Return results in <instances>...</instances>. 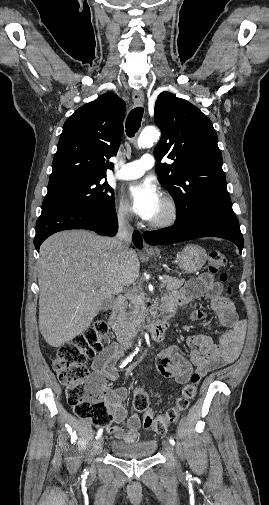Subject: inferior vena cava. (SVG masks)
I'll list each match as a JSON object with an SVG mask.
<instances>
[{
    "instance_id": "obj_1",
    "label": "inferior vena cava",
    "mask_w": 269,
    "mask_h": 505,
    "mask_svg": "<svg viewBox=\"0 0 269 505\" xmlns=\"http://www.w3.org/2000/svg\"><path fill=\"white\" fill-rule=\"evenodd\" d=\"M118 248L126 250L129 248L132 239V227L126 215L118 216V233H117Z\"/></svg>"
}]
</instances>
